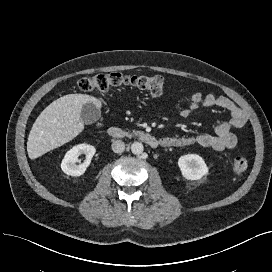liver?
Returning <instances> with one entry per match:
<instances>
[{"label": "liver", "instance_id": "1", "mask_svg": "<svg viewBox=\"0 0 272 272\" xmlns=\"http://www.w3.org/2000/svg\"><path fill=\"white\" fill-rule=\"evenodd\" d=\"M89 102L99 109L102 106L100 99L87 94H68L48 105L37 117L29 133V158L36 159L78 136L84 129L81 110Z\"/></svg>", "mask_w": 272, "mask_h": 272}]
</instances>
